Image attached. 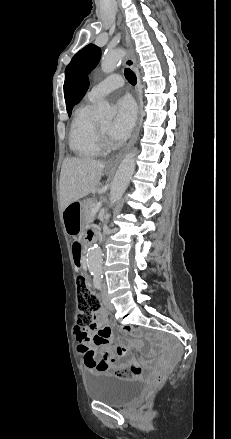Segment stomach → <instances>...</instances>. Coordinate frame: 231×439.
Returning a JSON list of instances; mask_svg holds the SVG:
<instances>
[{
	"mask_svg": "<svg viewBox=\"0 0 231 439\" xmlns=\"http://www.w3.org/2000/svg\"><path fill=\"white\" fill-rule=\"evenodd\" d=\"M108 172L110 171L108 170ZM69 206L64 209V213L67 211ZM63 222L64 228L69 235L77 234L82 228V221H80L77 217L70 218L67 213L63 216Z\"/></svg>",
	"mask_w": 231,
	"mask_h": 439,
	"instance_id": "0dacf381",
	"label": "stomach"
}]
</instances>
